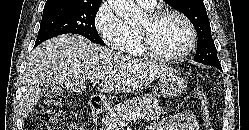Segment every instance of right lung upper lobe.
I'll return each mask as SVG.
<instances>
[{
	"instance_id": "obj_1",
	"label": "right lung upper lobe",
	"mask_w": 249,
	"mask_h": 130,
	"mask_svg": "<svg viewBox=\"0 0 249 130\" xmlns=\"http://www.w3.org/2000/svg\"><path fill=\"white\" fill-rule=\"evenodd\" d=\"M57 1H64V0H48L45 5L57 2ZM65 1H73L79 3H101L102 0H65Z\"/></svg>"
}]
</instances>
